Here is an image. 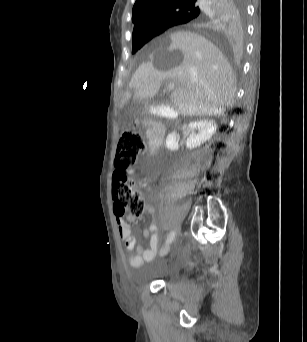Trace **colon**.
<instances>
[{
    "label": "colon",
    "instance_id": "1",
    "mask_svg": "<svg viewBox=\"0 0 307 342\" xmlns=\"http://www.w3.org/2000/svg\"><path fill=\"white\" fill-rule=\"evenodd\" d=\"M145 146V138L136 130H126L119 139L116 152L115 172L118 179L113 186L114 204L120 214L127 213L130 220L142 216L144 199L135 190L133 169L139 161Z\"/></svg>",
    "mask_w": 307,
    "mask_h": 342
}]
</instances>
